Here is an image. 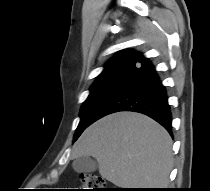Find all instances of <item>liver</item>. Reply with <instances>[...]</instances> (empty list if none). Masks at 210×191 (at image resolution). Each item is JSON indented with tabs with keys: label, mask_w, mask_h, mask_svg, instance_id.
<instances>
[{
	"label": "liver",
	"mask_w": 210,
	"mask_h": 191,
	"mask_svg": "<svg viewBox=\"0 0 210 191\" xmlns=\"http://www.w3.org/2000/svg\"><path fill=\"white\" fill-rule=\"evenodd\" d=\"M94 157L100 175L121 188H164L173 167L172 140L151 118L117 112L89 126L71 157Z\"/></svg>",
	"instance_id": "obj_1"
}]
</instances>
